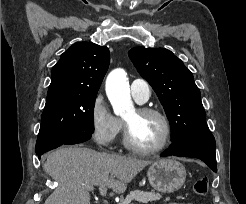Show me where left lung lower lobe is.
<instances>
[{
    "instance_id": "left-lung-lower-lobe-1",
    "label": "left lung lower lobe",
    "mask_w": 246,
    "mask_h": 204,
    "mask_svg": "<svg viewBox=\"0 0 246 204\" xmlns=\"http://www.w3.org/2000/svg\"><path fill=\"white\" fill-rule=\"evenodd\" d=\"M215 146L214 136L207 129L173 142L161 156L195 157L204 161L214 172H217Z\"/></svg>"
}]
</instances>
